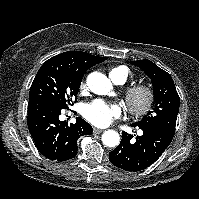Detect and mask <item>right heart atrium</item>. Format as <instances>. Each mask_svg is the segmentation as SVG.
<instances>
[{
    "mask_svg": "<svg viewBox=\"0 0 199 199\" xmlns=\"http://www.w3.org/2000/svg\"><path fill=\"white\" fill-rule=\"evenodd\" d=\"M86 87V84L85 82H82L81 85H80V90L83 91Z\"/></svg>",
    "mask_w": 199,
    "mask_h": 199,
    "instance_id": "d8ad5b80",
    "label": "right heart atrium"
}]
</instances>
